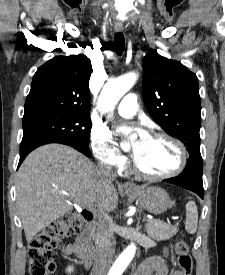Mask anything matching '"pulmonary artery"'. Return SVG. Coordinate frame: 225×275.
<instances>
[{
	"label": "pulmonary artery",
	"instance_id": "e3ab8cb5",
	"mask_svg": "<svg viewBox=\"0 0 225 275\" xmlns=\"http://www.w3.org/2000/svg\"><path fill=\"white\" fill-rule=\"evenodd\" d=\"M138 110L137 97L133 93L124 96L117 106V112L122 117H132Z\"/></svg>",
	"mask_w": 225,
	"mask_h": 275
}]
</instances>
